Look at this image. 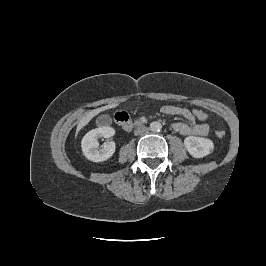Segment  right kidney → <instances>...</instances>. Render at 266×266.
<instances>
[{
  "label": "right kidney",
  "instance_id": "ca27d5eb",
  "mask_svg": "<svg viewBox=\"0 0 266 266\" xmlns=\"http://www.w3.org/2000/svg\"><path fill=\"white\" fill-rule=\"evenodd\" d=\"M115 130L109 126H103L89 131L82 139L81 147L85 157L93 162H103L109 159L115 152V143L108 141L99 149L98 139L113 136Z\"/></svg>",
  "mask_w": 266,
  "mask_h": 266
}]
</instances>
